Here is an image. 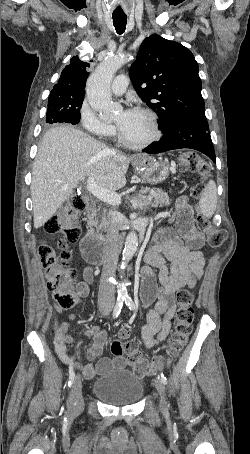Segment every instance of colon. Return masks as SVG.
Listing matches in <instances>:
<instances>
[{"label": "colon", "instance_id": "5ec220e1", "mask_svg": "<svg viewBox=\"0 0 250 454\" xmlns=\"http://www.w3.org/2000/svg\"><path fill=\"white\" fill-rule=\"evenodd\" d=\"M180 168L185 172L198 173L206 178L210 174V166L195 152H184L180 156ZM204 191L203 183H198L194 188L195 198H200ZM85 200L74 195L68 204L62 208L46 224V230L51 234H60L58 242L61 249L57 252L51 245L41 242L38 254L46 275L47 289L52 293L54 302L62 309H70L77 303L73 283L77 278V271L71 267L72 256L66 250V244L75 242L80 235L79 213L85 208ZM198 226L206 233L210 247H219L226 238L222 229L214 228L208 220L201 215L197 217ZM177 311L174 329L169 340V357L178 355L189 339L192 332L194 312L192 308L193 295L188 289H181L176 294ZM122 337L127 336L125 329L121 330ZM114 356H127L128 364L139 376L153 375L157 372L156 364L143 357L137 351L133 342L115 340L110 346Z\"/></svg>", "mask_w": 250, "mask_h": 454}]
</instances>
